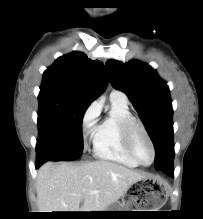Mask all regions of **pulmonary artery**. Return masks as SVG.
Listing matches in <instances>:
<instances>
[{
  "instance_id": "obj_1",
  "label": "pulmonary artery",
  "mask_w": 203,
  "mask_h": 219,
  "mask_svg": "<svg viewBox=\"0 0 203 219\" xmlns=\"http://www.w3.org/2000/svg\"><path fill=\"white\" fill-rule=\"evenodd\" d=\"M110 98H111V100H114V101H117V102H120L123 104L128 103L127 96L119 90H113L110 94Z\"/></svg>"
}]
</instances>
